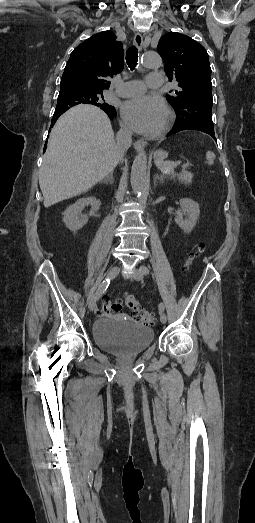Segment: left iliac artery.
<instances>
[{
    "label": "left iliac artery",
    "mask_w": 255,
    "mask_h": 523,
    "mask_svg": "<svg viewBox=\"0 0 255 523\" xmlns=\"http://www.w3.org/2000/svg\"><path fill=\"white\" fill-rule=\"evenodd\" d=\"M140 270H141V272H142L143 274H145V275L149 273V269H148V267H146V266H144V265L140 267ZM158 308H159V310L162 312V311H164L165 306H164V304L161 302V303H159Z\"/></svg>",
    "instance_id": "obj_1"
}]
</instances>
